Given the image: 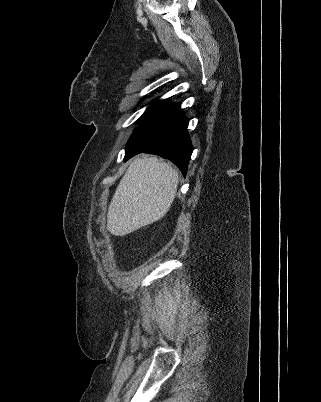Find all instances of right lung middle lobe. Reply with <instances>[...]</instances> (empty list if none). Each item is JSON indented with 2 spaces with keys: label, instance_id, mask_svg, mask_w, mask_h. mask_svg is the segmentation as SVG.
Instances as JSON below:
<instances>
[{
  "label": "right lung middle lobe",
  "instance_id": "1",
  "mask_svg": "<svg viewBox=\"0 0 321 402\" xmlns=\"http://www.w3.org/2000/svg\"><path fill=\"white\" fill-rule=\"evenodd\" d=\"M162 103L161 101H155L154 103H152L150 105V107L147 108L146 112L144 113L143 117H145L149 112H151L154 108H156L158 105H160Z\"/></svg>",
  "mask_w": 321,
  "mask_h": 402
}]
</instances>
